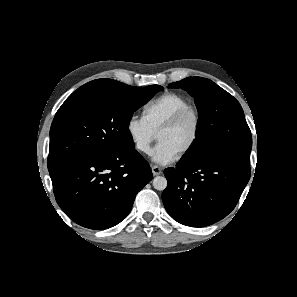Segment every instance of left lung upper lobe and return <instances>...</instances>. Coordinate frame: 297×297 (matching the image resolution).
Instances as JSON below:
<instances>
[{"instance_id":"5c2ea615","label":"left lung upper lobe","mask_w":297,"mask_h":297,"mask_svg":"<svg viewBox=\"0 0 297 297\" xmlns=\"http://www.w3.org/2000/svg\"><path fill=\"white\" fill-rule=\"evenodd\" d=\"M169 87L182 88L193 96L200 118L197 139L182 161L223 158L250 166L251 131L232 95L202 77H188Z\"/></svg>"}]
</instances>
